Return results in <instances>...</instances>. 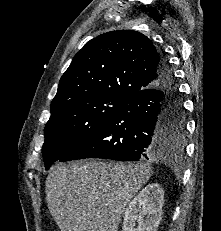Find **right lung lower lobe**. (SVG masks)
I'll return each mask as SVG.
<instances>
[{"label": "right lung lower lobe", "mask_w": 221, "mask_h": 231, "mask_svg": "<svg viewBox=\"0 0 221 231\" xmlns=\"http://www.w3.org/2000/svg\"><path fill=\"white\" fill-rule=\"evenodd\" d=\"M162 57L159 81L126 99L100 129L61 162L84 158L136 161L157 156L173 146L163 135L166 108L181 101L169 63Z\"/></svg>", "instance_id": "obj_1"}]
</instances>
